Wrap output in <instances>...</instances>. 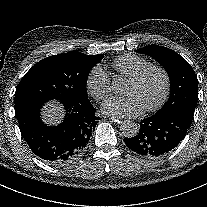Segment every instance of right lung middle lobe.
<instances>
[{"label": "right lung middle lobe", "mask_w": 207, "mask_h": 207, "mask_svg": "<svg viewBox=\"0 0 207 207\" xmlns=\"http://www.w3.org/2000/svg\"><path fill=\"white\" fill-rule=\"evenodd\" d=\"M101 59L74 52L53 55L36 63L21 79L15 92V114L58 99L64 104L89 101L87 79Z\"/></svg>", "instance_id": "1"}]
</instances>
